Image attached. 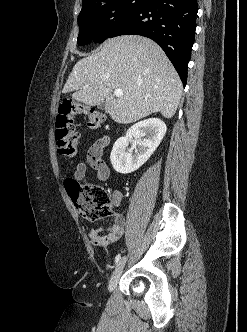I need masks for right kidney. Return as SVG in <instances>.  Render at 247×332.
I'll list each match as a JSON object with an SVG mask.
<instances>
[{"instance_id":"obj_1","label":"right kidney","mask_w":247,"mask_h":332,"mask_svg":"<svg viewBox=\"0 0 247 332\" xmlns=\"http://www.w3.org/2000/svg\"><path fill=\"white\" fill-rule=\"evenodd\" d=\"M166 130L165 123L158 118H149L134 124L126 136L117 139L113 145L110 160L114 170L128 174L139 169L157 149ZM133 138L136 139V144L126 150Z\"/></svg>"}]
</instances>
